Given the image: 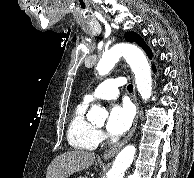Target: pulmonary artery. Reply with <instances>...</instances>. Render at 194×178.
Here are the masks:
<instances>
[{"label":"pulmonary artery","instance_id":"pulmonary-artery-1","mask_svg":"<svg viewBox=\"0 0 194 178\" xmlns=\"http://www.w3.org/2000/svg\"><path fill=\"white\" fill-rule=\"evenodd\" d=\"M124 77L110 78L101 82L91 93L84 97L86 103L93 102L98 99H115L119 95L118 88L125 85Z\"/></svg>","mask_w":194,"mask_h":178}]
</instances>
